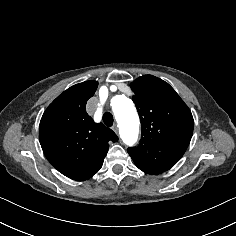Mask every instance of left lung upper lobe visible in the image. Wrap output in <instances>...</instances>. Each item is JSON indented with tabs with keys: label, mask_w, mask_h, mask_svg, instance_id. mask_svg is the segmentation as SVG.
<instances>
[{
	"label": "left lung upper lobe",
	"mask_w": 236,
	"mask_h": 236,
	"mask_svg": "<svg viewBox=\"0 0 236 236\" xmlns=\"http://www.w3.org/2000/svg\"><path fill=\"white\" fill-rule=\"evenodd\" d=\"M130 87L141 120V140L128 153L140 170L163 173L179 161L190 143L191 111L167 82L153 75L137 78Z\"/></svg>",
	"instance_id": "5c2ea615"
}]
</instances>
